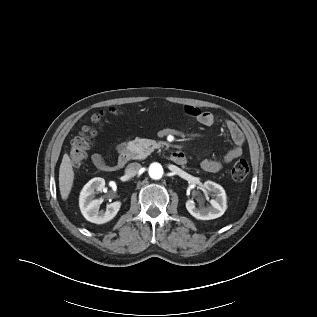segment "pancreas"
<instances>
[{
    "label": "pancreas",
    "mask_w": 317,
    "mask_h": 317,
    "mask_svg": "<svg viewBox=\"0 0 317 317\" xmlns=\"http://www.w3.org/2000/svg\"><path fill=\"white\" fill-rule=\"evenodd\" d=\"M160 145L161 142L157 143L154 140L141 138L129 141L127 144V149L131 159L141 160L150 155L154 149L159 148Z\"/></svg>",
    "instance_id": "pancreas-1"
}]
</instances>
